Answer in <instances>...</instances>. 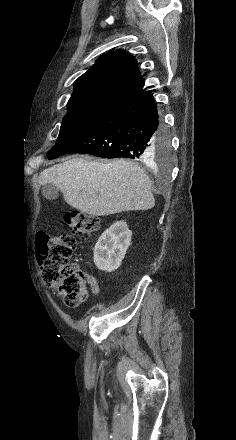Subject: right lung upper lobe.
<instances>
[{"label":"right lung upper lobe","instance_id":"cb5924a9","mask_svg":"<svg viewBox=\"0 0 236 440\" xmlns=\"http://www.w3.org/2000/svg\"><path fill=\"white\" fill-rule=\"evenodd\" d=\"M145 81L136 59L124 50L108 52L74 85V92L68 103L89 102L117 107L141 94Z\"/></svg>","mask_w":236,"mask_h":440}]
</instances>
